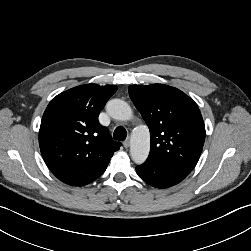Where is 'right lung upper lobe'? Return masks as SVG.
Listing matches in <instances>:
<instances>
[{"instance_id": "cb5924a9", "label": "right lung upper lobe", "mask_w": 251, "mask_h": 251, "mask_svg": "<svg viewBox=\"0 0 251 251\" xmlns=\"http://www.w3.org/2000/svg\"><path fill=\"white\" fill-rule=\"evenodd\" d=\"M115 85L86 84L64 91L48 104L39 130V146L51 172L62 182L83 186L106 170L119 150L98 116Z\"/></svg>"}]
</instances>
